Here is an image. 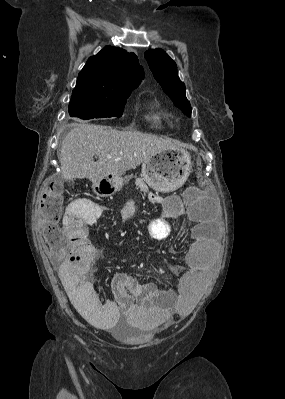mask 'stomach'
<instances>
[{"mask_svg": "<svg viewBox=\"0 0 285 399\" xmlns=\"http://www.w3.org/2000/svg\"><path fill=\"white\" fill-rule=\"evenodd\" d=\"M191 172V160L187 151L179 148L166 149L152 156L142 164V177L156 191H174L187 180ZM124 179L107 175L92 181L93 191L101 197L119 191Z\"/></svg>", "mask_w": 285, "mask_h": 399, "instance_id": "stomach-1", "label": "stomach"}]
</instances>
